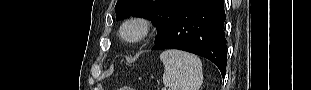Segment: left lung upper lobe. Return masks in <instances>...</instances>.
Wrapping results in <instances>:
<instances>
[{"mask_svg": "<svg viewBox=\"0 0 311 90\" xmlns=\"http://www.w3.org/2000/svg\"><path fill=\"white\" fill-rule=\"evenodd\" d=\"M199 0H118L115 6L116 18L129 16L152 20L158 29L155 43L168 32L174 21Z\"/></svg>", "mask_w": 311, "mask_h": 90, "instance_id": "left-lung-upper-lobe-1", "label": "left lung upper lobe"}]
</instances>
